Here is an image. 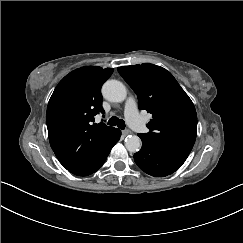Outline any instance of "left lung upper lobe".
I'll use <instances>...</instances> for the list:
<instances>
[{
	"mask_svg": "<svg viewBox=\"0 0 243 243\" xmlns=\"http://www.w3.org/2000/svg\"><path fill=\"white\" fill-rule=\"evenodd\" d=\"M138 97L139 109L152 119L141 140L190 153L196 139L197 114L189 96L166 69L150 63L117 68Z\"/></svg>",
	"mask_w": 243,
	"mask_h": 243,
	"instance_id": "1",
	"label": "left lung upper lobe"
}]
</instances>
